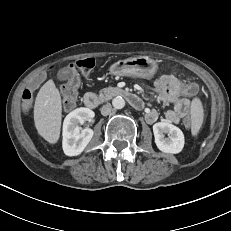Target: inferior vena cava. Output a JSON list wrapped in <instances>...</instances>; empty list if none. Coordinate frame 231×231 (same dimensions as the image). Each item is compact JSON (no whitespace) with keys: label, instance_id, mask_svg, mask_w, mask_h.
Instances as JSON below:
<instances>
[{"label":"inferior vena cava","instance_id":"obj_1","mask_svg":"<svg viewBox=\"0 0 231 231\" xmlns=\"http://www.w3.org/2000/svg\"><path fill=\"white\" fill-rule=\"evenodd\" d=\"M111 109H112V106L110 104H106L101 108V114L103 116H107L110 114Z\"/></svg>","mask_w":231,"mask_h":231}]
</instances>
